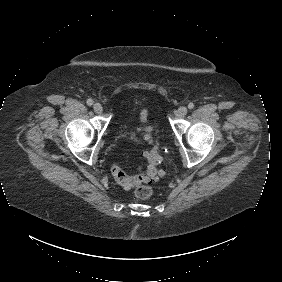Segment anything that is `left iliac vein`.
<instances>
[{
    "mask_svg": "<svg viewBox=\"0 0 282 282\" xmlns=\"http://www.w3.org/2000/svg\"><path fill=\"white\" fill-rule=\"evenodd\" d=\"M187 114V107L181 106L177 111H176V116L178 118H183Z\"/></svg>",
    "mask_w": 282,
    "mask_h": 282,
    "instance_id": "obj_1",
    "label": "left iliac vein"
}]
</instances>
